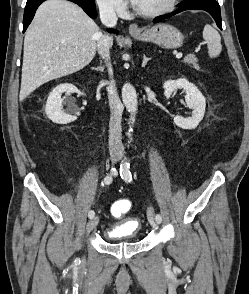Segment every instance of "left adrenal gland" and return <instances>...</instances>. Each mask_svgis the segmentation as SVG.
<instances>
[{"label":"left adrenal gland","mask_w":249,"mask_h":294,"mask_svg":"<svg viewBox=\"0 0 249 294\" xmlns=\"http://www.w3.org/2000/svg\"><path fill=\"white\" fill-rule=\"evenodd\" d=\"M151 58L146 57V55H143V62H142V67H145V65L147 64V62L150 60Z\"/></svg>","instance_id":"left-adrenal-gland-1"}]
</instances>
